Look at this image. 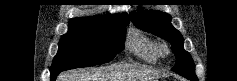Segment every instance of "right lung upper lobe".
<instances>
[{"label": "right lung upper lobe", "mask_w": 237, "mask_h": 81, "mask_svg": "<svg viewBox=\"0 0 237 81\" xmlns=\"http://www.w3.org/2000/svg\"><path fill=\"white\" fill-rule=\"evenodd\" d=\"M70 22H83V23H93V24H111L118 22H128L129 17L127 14L121 15H105V16H94V17H82L71 19Z\"/></svg>", "instance_id": "right-lung-upper-lobe-1"}]
</instances>
